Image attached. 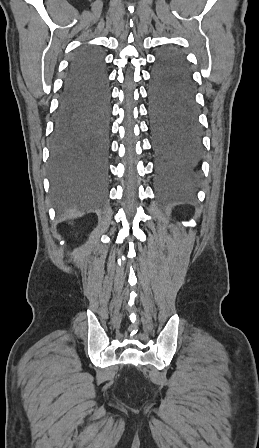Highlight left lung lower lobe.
Masks as SVG:
<instances>
[{"instance_id": "1", "label": "left lung lower lobe", "mask_w": 259, "mask_h": 448, "mask_svg": "<svg viewBox=\"0 0 259 448\" xmlns=\"http://www.w3.org/2000/svg\"><path fill=\"white\" fill-rule=\"evenodd\" d=\"M149 82V130L157 176L168 188L190 187L197 178L203 148L189 66L180 53L164 51Z\"/></svg>"}]
</instances>
